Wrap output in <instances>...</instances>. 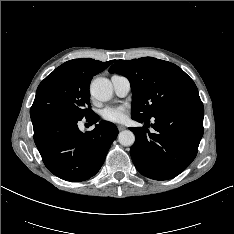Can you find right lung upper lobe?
I'll list each match as a JSON object with an SVG mask.
<instances>
[{
	"mask_svg": "<svg viewBox=\"0 0 234 234\" xmlns=\"http://www.w3.org/2000/svg\"><path fill=\"white\" fill-rule=\"evenodd\" d=\"M113 62L114 61L101 62L90 58L73 59L65 62L56 68V70L68 71L90 84V81L94 75L105 70Z\"/></svg>",
	"mask_w": 234,
	"mask_h": 234,
	"instance_id": "obj_1",
	"label": "right lung upper lobe"
}]
</instances>
